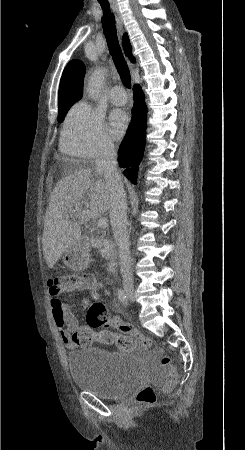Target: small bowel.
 I'll list each match as a JSON object with an SVG mask.
<instances>
[{
  "label": "small bowel",
  "mask_w": 245,
  "mask_h": 450,
  "mask_svg": "<svg viewBox=\"0 0 245 450\" xmlns=\"http://www.w3.org/2000/svg\"><path fill=\"white\" fill-rule=\"evenodd\" d=\"M90 279L89 287H74L69 291H87V296L83 299L84 303H89L92 300L98 299L99 295L97 290L101 287V284L97 282L94 278ZM59 294V288L51 287L48 289V296L50 302V308L52 313V318L54 320L55 326L58 329L59 337L62 342L70 349L83 348L86 345L80 344L75 337V333L80 327L77 324V320L73 312L71 311L69 305L57 298ZM118 319L117 317H115ZM110 328L119 329L117 325H111ZM88 345V344H87ZM160 350L159 347L155 348Z\"/></svg>",
  "instance_id": "1"
}]
</instances>
